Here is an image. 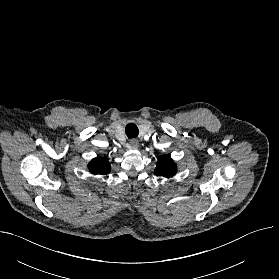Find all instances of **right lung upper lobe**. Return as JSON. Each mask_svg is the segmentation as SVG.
<instances>
[{
	"mask_svg": "<svg viewBox=\"0 0 279 279\" xmlns=\"http://www.w3.org/2000/svg\"><path fill=\"white\" fill-rule=\"evenodd\" d=\"M88 168L93 174H108L110 172V163L106 158H94L89 163Z\"/></svg>",
	"mask_w": 279,
	"mask_h": 279,
	"instance_id": "1",
	"label": "right lung upper lobe"
}]
</instances>
